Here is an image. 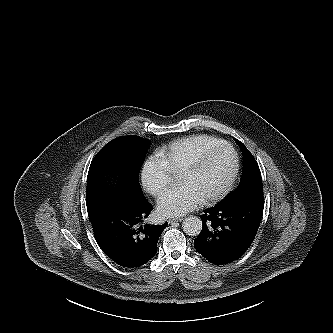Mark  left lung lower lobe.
Returning a JSON list of instances; mask_svg holds the SVG:
<instances>
[{"label":"left lung lower lobe","mask_w":333,"mask_h":333,"mask_svg":"<svg viewBox=\"0 0 333 333\" xmlns=\"http://www.w3.org/2000/svg\"><path fill=\"white\" fill-rule=\"evenodd\" d=\"M264 208L263 187H253L204 210L196 251L215 265L239 259L251 246Z\"/></svg>","instance_id":"0a47b994"}]
</instances>
